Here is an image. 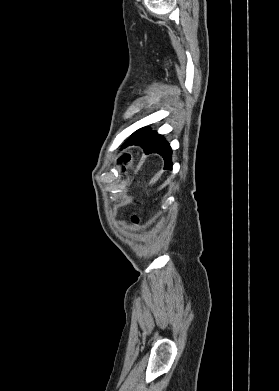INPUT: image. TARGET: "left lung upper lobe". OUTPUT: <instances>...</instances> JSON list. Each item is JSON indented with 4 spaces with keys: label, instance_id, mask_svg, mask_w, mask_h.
<instances>
[{
    "label": "left lung upper lobe",
    "instance_id": "obj_1",
    "mask_svg": "<svg viewBox=\"0 0 279 391\" xmlns=\"http://www.w3.org/2000/svg\"><path fill=\"white\" fill-rule=\"evenodd\" d=\"M146 130H148V128H141V129H139L138 131H136L135 133H133L132 135H138V134H140V133H142V132H144V131H146ZM131 135V136H132Z\"/></svg>",
    "mask_w": 279,
    "mask_h": 391
}]
</instances>
